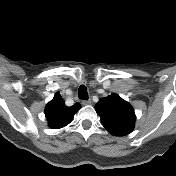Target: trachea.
I'll return each mask as SVG.
<instances>
[{"instance_id": "1", "label": "trachea", "mask_w": 176, "mask_h": 176, "mask_svg": "<svg viewBox=\"0 0 176 176\" xmlns=\"http://www.w3.org/2000/svg\"><path fill=\"white\" fill-rule=\"evenodd\" d=\"M78 96L80 99L88 100L87 88L84 85H81L78 89Z\"/></svg>"}]
</instances>
